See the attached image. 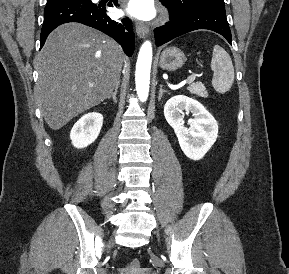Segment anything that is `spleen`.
<instances>
[{
	"mask_svg": "<svg viewBox=\"0 0 289 274\" xmlns=\"http://www.w3.org/2000/svg\"><path fill=\"white\" fill-rule=\"evenodd\" d=\"M211 69L214 71L213 88L219 93L229 91L234 82V67L229 54L219 45L213 48Z\"/></svg>",
	"mask_w": 289,
	"mask_h": 274,
	"instance_id": "3e777b00",
	"label": "spleen"
}]
</instances>
